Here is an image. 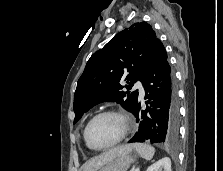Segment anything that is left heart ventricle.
<instances>
[{"instance_id": "left-heart-ventricle-1", "label": "left heart ventricle", "mask_w": 223, "mask_h": 171, "mask_svg": "<svg viewBox=\"0 0 223 171\" xmlns=\"http://www.w3.org/2000/svg\"><path fill=\"white\" fill-rule=\"evenodd\" d=\"M123 132V123L114 115L97 118L89 128V139L97 147H103L117 140Z\"/></svg>"}]
</instances>
